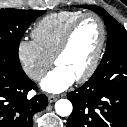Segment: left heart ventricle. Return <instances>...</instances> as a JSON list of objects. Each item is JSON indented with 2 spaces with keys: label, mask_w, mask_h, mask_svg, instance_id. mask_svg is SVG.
<instances>
[{
  "label": "left heart ventricle",
  "mask_w": 127,
  "mask_h": 127,
  "mask_svg": "<svg viewBox=\"0 0 127 127\" xmlns=\"http://www.w3.org/2000/svg\"><path fill=\"white\" fill-rule=\"evenodd\" d=\"M101 38L99 23L84 20L76 29L67 51L58 59L57 66L64 68L75 78L83 74L91 64Z\"/></svg>",
  "instance_id": "left-heart-ventricle-1"
}]
</instances>
